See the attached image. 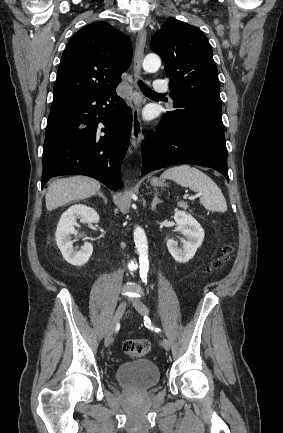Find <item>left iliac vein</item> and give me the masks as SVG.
<instances>
[{
  "label": "left iliac vein",
  "mask_w": 283,
  "mask_h": 433,
  "mask_svg": "<svg viewBox=\"0 0 283 433\" xmlns=\"http://www.w3.org/2000/svg\"><path fill=\"white\" fill-rule=\"evenodd\" d=\"M133 306L141 315L145 316L148 314L147 306L143 302H141L139 299H135L133 301ZM162 345L165 348V350H167V351H169L171 348L170 341L166 338L163 339Z\"/></svg>",
  "instance_id": "4c4485c4"
}]
</instances>
